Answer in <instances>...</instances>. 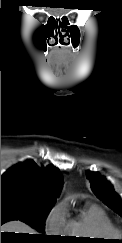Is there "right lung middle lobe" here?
<instances>
[{
	"instance_id": "dd1d6c3e",
	"label": "right lung middle lobe",
	"mask_w": 122,
	"mask_h": 243,
	"mask_svg": "<svg viewBox=\"0 0 122 243\" xmlns=\"http://www.w3.org/2000/svg\"><path fill=\"white\" fill-rule=\"evenodd\" d=\"M53 204H42L22 198L1 197V225L11 220H20L36 229L45 231V220ZM45 238L43 234L40 236Z\"/></svg>"
}]
</instances>
